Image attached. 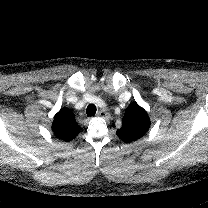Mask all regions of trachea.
<instances>
[{
    "label": "trachea",
    "mask_w": 208,
    "mask_h": 208,
    "mask_svg": "<svg viewBox=\"0 0 208 208\" xmlns=\"http://www.w3.org/2000/svg\"><path fill=\"white\" fill-rule=\"evenodd\" d=\"M97 108L94 104H89L86 109L87 116H94L96 114Z\"/></svg>",
    "instance_id": "3493384b"
}]
</instances>
